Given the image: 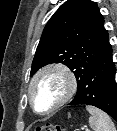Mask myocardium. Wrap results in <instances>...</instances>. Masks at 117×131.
Masks as SVG:
<instances>
[{"instance_id": "1", "label": "myocardium", "mask_w": 117, "mask_h": 131, "mask_svg": "<svg viewBox=\"0 0 117 131\" xmlns=\"http://www.w3.org/2000/svg\"><path fill=\"white\" fill-rule=\"evenodd\" d=\"M50 73H57L63 77L66 85L65 93L62 96V98L52 108L46 111H40L36 106L34 98V88L40 78ZM76 89H77V80L75 75L69 68H67L63 64H50L42 67L32 77L28 87V98L32 109L38 114L45 115L50 114L61 108L63 105H65L73 97V95L76 92Z\"/></svg>"}]
</instances>
